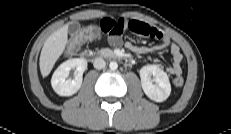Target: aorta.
I'll list each match as a JSON object with an SVG mask.
<instances>
[{
    "label": "aorta",
    "instance_id": "obj_1",
    "mask_svg": "<svg viewBox=\"0 0 231 134\" xmlns=\"http://www.w3.org/2000/svg\"><path fill=\"white\" fill-rule=\"evenodd\" d=\"M109 68H110L111 70H116V69L118 68L117 62H115V61L110 62Z\"/></svg>",
    "mask_w": 231,
    "mask_h": 134
}]
</instances>
